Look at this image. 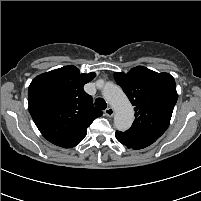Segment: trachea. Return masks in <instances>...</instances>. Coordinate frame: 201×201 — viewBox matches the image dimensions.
<instances>
[{"label":"trachea","mask_w":201,"mask_h":201,"mask_svg":"<svg viewBox=\"0 0 201 201\" xmlns=\"http://www.w3.org/2000/svg\"><path fill=\"white\" fill-rule=\"evenodd\" d=\"M95 106L100 110H104L107 108V103L103 98H97L95 100Z\"/></svg>","instance_id":"1"}]
</instances>
